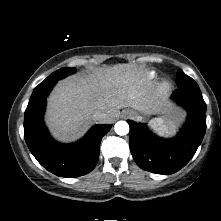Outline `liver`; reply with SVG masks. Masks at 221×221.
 I'll return each mask as SVG.
<instances>
[{
  "label": "liver",
  "instance_id": "6515ba94",
  "mask_svg": "<svg viewBox=\"0 0 221 221\" xmlns=\"http://www.w3.org/2000/svg\"><path fill=\"white\" fill-rule=\"evenodd\" d=\"M125 107L165 113L172 106L158 100L143 71L132 64H117L60 81L48 99L46 124L59 141L72 142L95 122L96 111L106 114L100 123H111Z\"/></svg>",
  "mask_w": 221,
  "mask_h": 221
}]
</instances>
